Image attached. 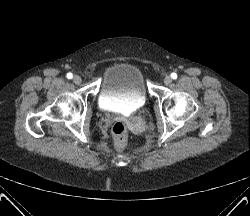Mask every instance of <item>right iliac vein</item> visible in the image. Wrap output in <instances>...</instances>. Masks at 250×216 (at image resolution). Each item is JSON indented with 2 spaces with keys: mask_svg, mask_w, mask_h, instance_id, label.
Returning a JSON list of instances; mask_svg holds the SVG:
<instances>
[{
  "mask_svg": "<svg viewBox=\"0 0 250 216\" xmlns=\"http://www.w3.org/2000/svg\"><path fill=\"white\" fill-rule=\"evenodd\" d=\"M81 77L79 76V75H75L74 77H73V82L75 83V84H80L81 83Z\"/></svg>",
  "mask_w": 250,
  "mask_h": 216,
  "instance_id": "1",
  "label": "right iliac vein"
}]
</instances>
